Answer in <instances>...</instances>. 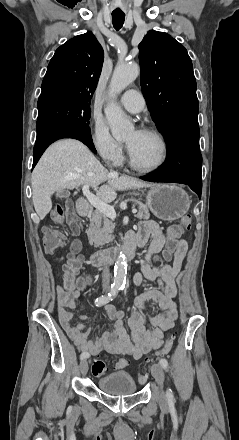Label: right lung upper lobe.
Returning a JSON list of instances; mask_svg holds the SVG:
<instances>
[{
	"label": "right lung upper lobe",
	"mask_w": 239,
	"mask_h": 440,
	"mask_svg": "<svg viewBox=\"0 0 239 440\" xmlns=\"http://www.w3.org/2000/svg\"><path fill=\"white\" fill-rule=\"evenodd\" d=\"M103 60V48L92 32L68 40L50 60L38 102L56 97L90 101Z\"/></svg>",
	"instance_id": "obj_1"
}]
</instances>
